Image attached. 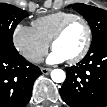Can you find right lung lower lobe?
I'll use <instances>...</instances> for the list:
<instances>
[{
    "mask_svg": "<svg viewBox=\"0 0 107 107\" xmlns=\"http://www.w3.org/2000/svg\"><path fill=\"white\" fill-rule=\"evenodd\" d=\"M40 69L19 54L0 51V107H25Z\"/></svg>",
    "mask_w": 107,
    "mask_h": 107,
    "instance_id": "obj_1",
    "label": "right lung lower lobe"
}]
</instances>
